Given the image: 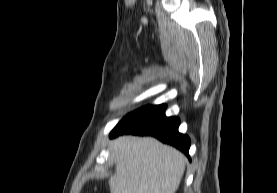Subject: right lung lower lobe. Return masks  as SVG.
Listing matches in <instances>:
<instances>
[{"label": "right lung lower lobe", "mask_w": 277, "mask_h": 193, "mask_svg": "<svg viewBox=\"0 0 277 193\" xmlns=\"http://www.w3.org/2000/svg\"><path fill=\"white\" fill-rule=\"evenodd\" d=\"M165 109V105H148L128 114L111 131L110 137L121 134L152 135L189 156V137L178 132L179 119L166 117Z\"/></svg>", "instance_id": "98d812e1"}]
</instances>
